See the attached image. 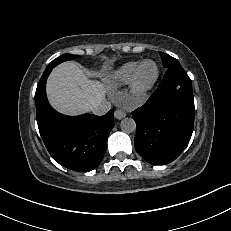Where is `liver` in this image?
I'll return each mask as SVG.
<instances>
[{"mask_svg":"<svg viewBox=\"0 0 231 231\" xmlns=\"http://www.w3.org/2000/svg\"><path fill=\"white\" fill-rule=\"evenodd\" d=\"M47 96L58 112L78 115L105 100L106 88L90 80L75 62H64L53 69L47 80Z\"/></svg>","mask_w":231,"mask_h":231,"instance_id":"obj_1","label":"liver"}]
</instances>
